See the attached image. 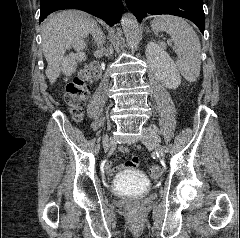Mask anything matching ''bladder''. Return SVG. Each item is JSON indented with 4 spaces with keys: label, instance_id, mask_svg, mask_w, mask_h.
Segmentation results:
<instances>
[{
    "label": "bladder",
    "instance_id": "obj_1",
    "mask_svg": "<svg viewBox=\"0 0 240 238\" xmlns=\"http://www.w3.org/2000/svg\"><path fill=\"white\" fill-rule=\"evenodd\" d=\"M147 181L136 171H129L123 177L118 179L113 186L115 193H139L146 190Z\"/></svg>",
    "mask_w": 240,
    "mask_h": 238
}]
</instances>
